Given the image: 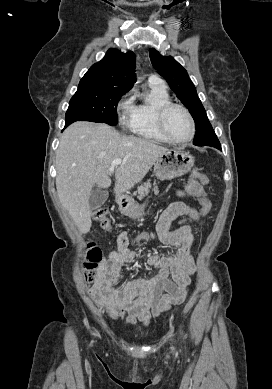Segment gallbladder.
<instances>
[{"label":"gallbladder","instance_id":"gallbladder-1","mask_svg":"<svg viewBox=\"0 0 272 389\" xmlns=\"http://www.w3.org/2000/svg\"><path fill=\"white\" fill-rule=\"evenodd\" d=\"M107 198V191L100 188L93 189L89 197V205L91 210L96 211L99 209L106 202Z\"/></svg>","mask_w":272,"mask_h":389}]
</instances>
